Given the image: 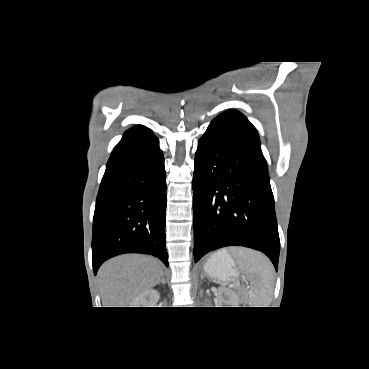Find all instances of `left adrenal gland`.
Wrapping results in <instances>:
<instances>
[{
  "label": "left adrenal gland",
  "mask_w": 369,
  "mask_h": 369,
  "mask_svg": "<svg viewBox=\"0 0 369 369\" xmlns=\"http://www.w3.org/2000/svg\"><path fill=\"white\" fill-rule=\"evenodd\" d=\"M204 277H206L207 279H209L208 276L204 272H202L201 273V279H203Z\"/></svg>",
  "instance_id": "obj_1"
}]
</instances>
